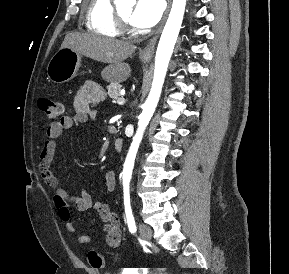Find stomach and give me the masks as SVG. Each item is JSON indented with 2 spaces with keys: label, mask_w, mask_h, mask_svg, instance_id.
<instances>
[{
  "label": "stomach",
  "mask_w": 289,
  "mask_h": 274,
  "mask_svg": "<svg viewBox=\"0 0 289 274\" xmlns=\"http://www.w3.org/2000/svg\"><path fill=\"white\" fill-rule=\"evenodd\" d=\"M148 62L150 57H141ZM81 54L71 48H60L47 65V76L54 83H65L77 76Z\"/></svg>",
  "instance_id": "0dacf381"
}]
</instances>
